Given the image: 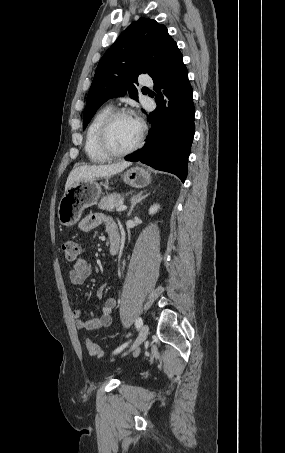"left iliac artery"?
<instances>
[{
    "instance_id": "obj_1",
    "label": "left iliac artery",
    "mask_w": 285,
    "mask_h": 453,
    "mask_svg": "<svg viewBox=\"0 0 285 453\" xmlns=\"http://www.w3.org/2000/svg\"><path fill=\"white\" fill-rule=\"evenodd\" d=\"M142 324H143V320H142L140 317L137 318L136 323H135L136 327H137V328H140V327L142 326ZM127 344H128V343H124L123 345H121L120 347H118L116 350H114L113 353H114V354L119 353L120 351H122V350L127 346Z\"/></svg>"
}]
</instances>
